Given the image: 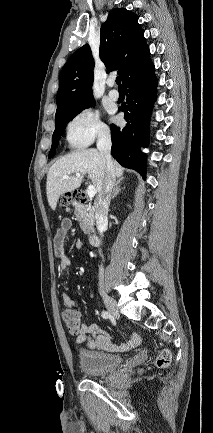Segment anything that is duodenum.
Wrapping results in <instances>:
<instances>
[{
  "instance_id": "duodenum-1",
  "label": "duodenum",
  "mask_w": 213,
  "mask_h": 433,
  "mask_svg": "<svg viewBox=\"0 0 213 433\" xmlns=\"http://www.w3.org/2000/svg\"><path fill=\"white\" fill-rule=\"evenodd\" d=\"M78 202L85 204V203H87V198L84 197V198L78 200ZM89 242L92 246L97 247L100 245V238L96 233H91L89 235Z\"/></svg>"
}]
</instances>
